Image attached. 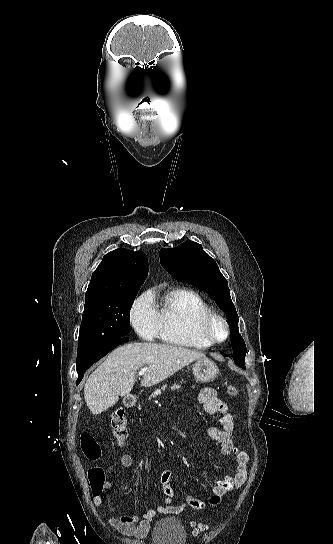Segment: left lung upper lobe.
<instances>
[{
    "label": "left lung upper lobe",
    "mask_w": 333,
    "mask_h": 544,
    "mask_svg": "<svg viewBox=\"0 0 333 544\" xmlns=\"http://www.w3.org/2000/svg\"><path fill=\"white\" fill-rule=\"evenodd\" d=\"M161 265L175 278L191 283L206 291L226 312L231 329L233 359L245 368V343L238 332V315L231 301L228 283L216 262L203 251L202 246L187 240L176 248L160 250Z\"/></svg>",
    "instance_id": "1"
}]
</instances>
